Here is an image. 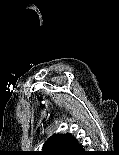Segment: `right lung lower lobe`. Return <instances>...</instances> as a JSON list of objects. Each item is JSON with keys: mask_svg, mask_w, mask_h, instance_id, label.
Wrapping results in <instances>:
<instances>
[{"mask_svg": "<svg viewBox=\"0 0 119 155\" xmlns=\"http://www.w3.org/2000/svg\"><path fill=\"white\" fill-rule=\"evenodd\" d=\"M65 155H87L86 151H84L83 146L79 143H76L72 146Z\"/></svg>", "mask_w": 119, "mask_h": 155, "instance_id": "right-lung-lower-lobe-1", "label": "right lung lower lobe"}]
</instances>
